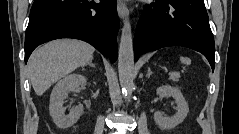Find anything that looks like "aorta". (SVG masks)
<instances>
[{"instance_id":"aorta-1","label":"aorta","mask_w":239,"mask_h":134,"mask_svg":"<svg viewBox=\"0 0 239 134\" xmlns=\"http://www.w3.org/2000/svg\"><path fill=\"white\" fill-rule=\"evenodd\" d=\"M118 72L121 87L131 94L134 88V51L132 30L129 21H126L121 30L118 53Z\"/></svg>"}]
</instances>
